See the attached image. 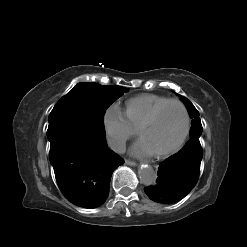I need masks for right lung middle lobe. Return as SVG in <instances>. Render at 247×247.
Segmentation results:
<instances>
[{
    "label": "right lung middle lobe",
    "instance_id": "obj_1",
    "mask_svg": "<svg viewBox=\"0 0 247 247\" xmlns=\"http://www.w3.org/2000/svg\"><path fill=\"white\" fill-rule=\"evenodd\" d=\"M127 91V88L121 86L79 83L57 102L48 121L50 123L55 120L77 119L105 135V111Z\"/></svg>",
    "mask_w": 247,
    "mask_h": 247
}]
</instances>
